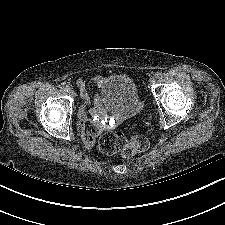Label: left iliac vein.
Wrapping results in <instances>:
<instances>
[{
    "label": "left iliac vein",
    "instance_id": "1",
    "mask_svg": "<svg viewBox=\"0 0 225 225\" xmlns=\"http://www.w3.org/2000/svg\"><path fill=\"white\" fill-rule=\"evenodd\" d=\"M150 83L151 84H155L156 83V78L155 77H151L150 78Z\"/></svg>",
    "mask_w": 225,
    "mask_h": 225
}]
</instances>
